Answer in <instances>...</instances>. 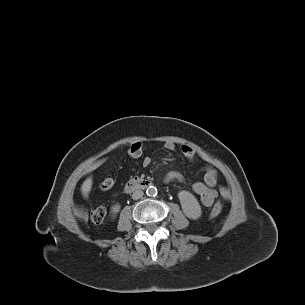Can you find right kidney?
<instances>
[{"mask_svg": "<svg viewBox=\"0 0 305 305\" xmlns=\"http://www.w3.org/2000/svg\"><path fill=\"white\" fill-rule=\"evenodd\" d=\"M120 204H115V205H113L112 207H111V213L113 214V216L116 214V213H118L119 212V210H120Z\"/></svg>", "mask_w": 305, "mask_h": 305, "instance_id": "1", "label": "right kidney"}]
</instances>
